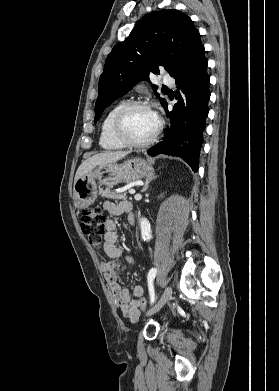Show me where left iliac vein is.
I'll use <instances>...</instances> for the list:
<instances>
[{"label":"left iliac vein","instance_id":"1","mask_svg":"<svg viewBox=\"0 0 279 391\" xmlns=\"http://www.w3.org/2000/svg\"><path fill=\"white\" fill-rule=\"evenodd\" d=\"M172 293V287L167 286L158 303L146 313V316L149 317L157 313L171 299Z\"/></svg>","mask_w":279,"mask_h":391}]
</instances>
